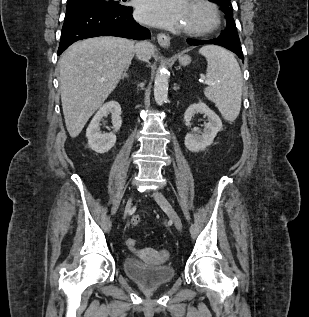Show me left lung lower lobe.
<instances>
[{
	"mask_svg": "<svg viewBox=\"0 0 309 317\" xmlns=\"http://www.w3.org/2000/svg\"><path fill=\"white\" fill-rule=\"evenodd\" d=\"M187 43L189 45H203V44L220 45L234 52L240 59L244 60L242 48L240 45V40H237L227 35H220L218 38H214L211 40L187 39Z\"/></svg>",
	"mask_w": 309,
	"mask_h": 317,
	"instance_id": "obj_1",
	"label": "left lung lower lobe"
}]
</instances>
